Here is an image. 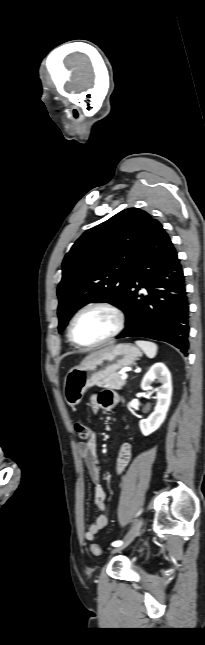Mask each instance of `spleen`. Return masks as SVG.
<instances>
[{
	"label": "spleen",
	"mask_w": 205,
	"mask_h": 645,
	"mask_svg": "<svg viewBox=\"0 0 205 645\" xmlns=\"http://www.w3.org/2000/svg\"><path fill=\"white\" fill-rule=\"evenodd\" d=\"M135 343L149 358H154L156 356L158 346L155 343L144 340H137Z\"/></svg>",
	"instance_id": "spleen-1"
}]
</instances>
